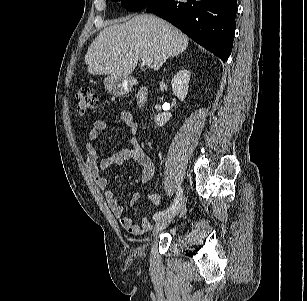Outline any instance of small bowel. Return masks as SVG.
Listing matches in <instances>:
<instances>
[{
	"instance_id": "obj_1",
	"label": "small bowel",
	"mask_w": 307,
	"mask_h": 301,
	"mask_svg": "<svg viewBox=\"0 0 307 301\" xmlns=\"http://www.w3.org/2000/svg\"><path fill=\"white\" fill-rule=\"evenodd\" d=\"M119 117L129 132L132 134L137 133L139 122L130 111L120 110ZM106 129L107 123L104 120H96L93 127L88 131V140L84 146L86 152V168L97 186L104 192L111 212L120 221L123 229L135 236L142 235L152 228V222L147 217H143L138 224L135 222L133 216L124 215L123 206L120 204L114 191L107 188V180L101 175V172L119 167L125 161H135L142 168V184H147L154 175V163L135 137L131 138L129 147L98 161V152L94 143L98 140L100 133ZM140 198L141 194L138 192L132 195L130 199V207L132 209L139 202ZM148 199L154 205H161L163 202L162 196L158 194L148 193Z\"/></svg>"
}]
</instances>
